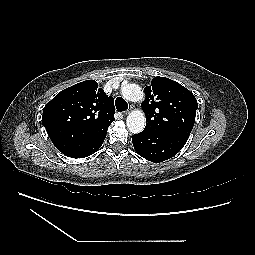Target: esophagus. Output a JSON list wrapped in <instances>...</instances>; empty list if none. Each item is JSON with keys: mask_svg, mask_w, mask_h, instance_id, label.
Listing matches in <instances>:
<instances>
[{"mask_svg": "<svg viewBox=\"0 0 255 255\" xmlns=\"http://www.w3.org/2000/svg\"><path fill=\"white\" fill-rule=\"evenodd\" d=\"M131 109H132V106H130V109L124 111V112H123V115H124V116H127V115L129 114V112L131 111Z\"/></svg>", "mask_w": 255, "mask_h": 255, "instance_id": "esophagus-1", "label": "esophagus"}]
</instances>
